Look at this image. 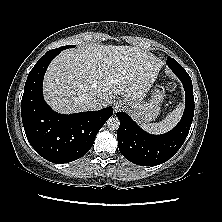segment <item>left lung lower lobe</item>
I'll return each instance as SVG.
<instances>
[{"mask_svg":"<svg viewBox=\"0 0 222 222\" xmlns=\"http://www.w3.org/2000/svg\"><path fill=\"white\" fill-rule=\"evenodd\" d=\"M169 68L182 81L186 97L183 117L174 129L162 135H151L143 131L126 113H116L120 120L117 131L119 150L135 164L155 166L166 162L181 148L189 133L194 116L192 81L178 62L170 64Z\"/></svg>","mask_w":222,"mask_h":222,"instance_id":"1","label":"left lung lower lobe"}]
</instances>
